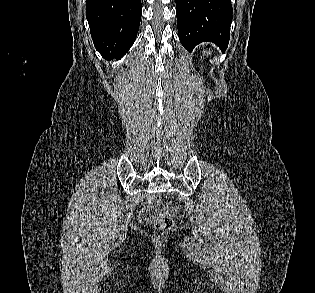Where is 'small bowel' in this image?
Instances as JSON below:
<instances>
[{
	"label": "small bowel",
	"mask_w": 315,
	"mask_h": 293,
	"mask_svg": "<svg viewBox=\"0 0 315 293\" xmlns=\"http://www.w3.org/2000/svg\"><path fill=\"white\" fill-rule=\"evenodd\" d=\"M153 219H154V213L150 209L144 210L139 216V220L142 223H150L153 221Z\"/></svg>",
	"instance_id": "obj_1"
}]
</instances>
